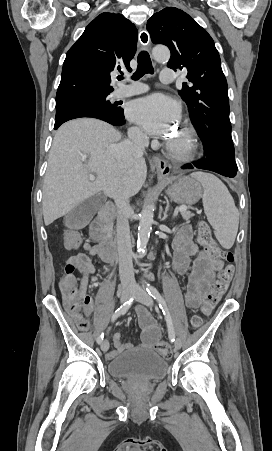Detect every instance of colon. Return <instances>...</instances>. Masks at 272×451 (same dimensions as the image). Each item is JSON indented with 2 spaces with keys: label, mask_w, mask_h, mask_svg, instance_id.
<instances>
[{
  "label": "colon",
  "mask_w": 272,
  "mask_h": 451,
  "mask_svg": "<svg viewBox=\"0 0 272 451\" xmlns=\"http://www.w3.org/2000/svg\"><path fill=\"white\" fill-rule=\"evenodd\" d=\"M63 240L61 242L62 249H77L80 243V236L76 230H63ZM198 239L209 248L207 251L208 258H224L227 264L219 274V279L208 291L203 311L211 313L214 307L220 302L221 298L229 287L234 274V255L228 249H218L217 243L213 240L207 224L203 223L198 229ZM79 267L80 271H94V262H88L87 258H69L66 260L63 274H59V283H61V295L65 297V303H73L74 310H90V296L85 294L84 288H78V280H76L75 270ZM201 318L194 316L192 325L198 327L201 324ZM77 327L80 330H86L89 327L87 320L78 322ZM157 354H174V345H167L166 342H157Z\"/></svg>",
  "instance_id": "1"
}]
</instances>
